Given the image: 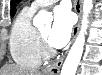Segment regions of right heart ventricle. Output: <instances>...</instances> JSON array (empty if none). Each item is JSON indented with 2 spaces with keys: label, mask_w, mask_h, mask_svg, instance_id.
<instances>
[{
  "label": "right heart ventricle",
  "mask_w": 102,
  "mask_h": 75,
  "mask_svg": "<svg viewBox=\"0 0 102 75\" xmlns=\"http://www.w3.org/2000/svg\"><path fill=\"white\" fill-rule=\"evenodd\" d=\"M34 11L23 8L17 15L10 35V54L19 65L36 68L41 63L39 31L32 23Z\"/></svg>",
  "instance_id": "e07e8e85"
}]
</instances>
